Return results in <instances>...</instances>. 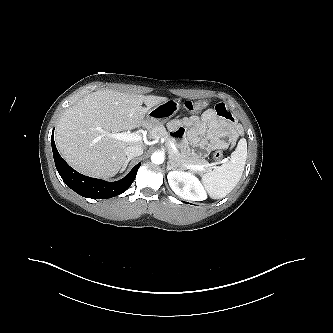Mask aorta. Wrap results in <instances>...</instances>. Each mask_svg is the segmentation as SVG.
<instances>
[{"mask_svg":"<svg viewBox=\"0 0 333 333\" xmlns=\"http://www.w3.org/2000/svg\"><path fill=\"white\" fill-rule=\"evenodd\" d=\"M151 161L154 164H162L164 162V154L162 152H154L151 156Z\"/></svg>","mask_w":333,"mask_h":333,"instance_id":"762f6f07","label":"aorta"}]
</instances>
